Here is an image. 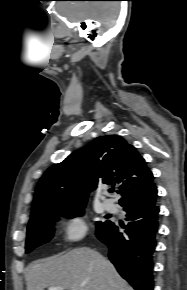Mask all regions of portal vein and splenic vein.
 <instances>
[{
	"label": "portal vein and splenic vein",
	"instance_id": "1",
	"mask_svg": "<svg viewBox=\"0 0 187 290\" xmlns=\"http://www.w3.org/2000/svg\"><path fill=\"white\" fill-rule=\"evenodd\" d=\"M48 290H64V287H49Z\"/></svg>",
	"mask_w": 187,
	"mask_h": 290
}]
</instances>
